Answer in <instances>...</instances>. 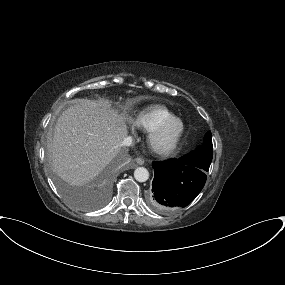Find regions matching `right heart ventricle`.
I'll return each instance as SVG.
<instances>
[{"mask_svg":"<svg viewBox=\"0 0 285 285\" xmlns=\"http://www.w3.org/2000/svg\"><path fill=\"white\" fill-rule=\"evenodd\" d=\"M175 117V115L164 106L156 105L141 111L135 118L136 127L149 132L160 123Z\"/></svg>","mask_w":285,"mask_h":285,"instance_id":"right-heart-ventricle-1","label":"right heart ventricle"}]
</instances>
